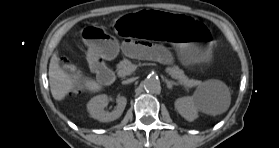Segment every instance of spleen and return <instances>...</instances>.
<instances>
[{
  "mask_svg": "<svg viewBox=\"0 0 279 148\" xmlns=\"http://www.w3.org/2000/svg\"><path fill=\"white\" fill-rule=\"evenodd\" d=\"M216 86H222V83L220 81H217V80H208V81L204 82L202 84L201 88H199L196 91L195 98H197L198 100H202V97L203 96H208L209 94H211L213 88L216 87ZM229 104H230V98H229V95H228L225 102L222 103L220 105V107L218 108V113H223L224 111H226L227 108L229 107Z\"/></svg>",
  "mask_w": 279,
  "mask_h": 148,
  "instance_id": "spleen-1",
  "label": "spleen"
}]
</instances>
